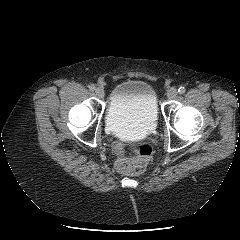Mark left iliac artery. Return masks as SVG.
Masks as SVG:
<instances>
[{
    "instance_id": "1",
    "label": "left iliac artery",
    "mask_w": 240,
    "mask_h": 240,
    "mask_svg": "<svg viewBox=\"0 0 240 240\" xmlns=\"http://www.w3.org/2000/svg\"><path fill=\"white\" fill-rule=\"evenodd\" d=\"M185 91H186V89H185L184 87H182V86L178 89V92H179L180 94L185 93Z\"/></svg>"
}]
</instances>
